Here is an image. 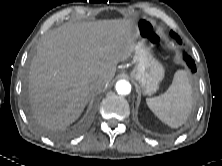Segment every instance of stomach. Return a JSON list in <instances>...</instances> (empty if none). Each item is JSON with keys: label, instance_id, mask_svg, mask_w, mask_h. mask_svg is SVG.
<instances>
[{"label": "stomach", "instance_id": "stomach-1", "mask_svg": "<svg viewBox=\"0 0 222 166\" xmlns=\"http://www.w3.org/2000/svg\"><path fill=\"white\" fill-rule=\"evenodd\" d=\"M134 60L136 66L130 73L131 77L138 82L145 95H152L164 77L163 66L144 44H139L135 48Z\"/></svg>", "mask_w": 222, "mask_h": 166}]
</instances>
